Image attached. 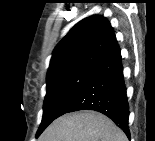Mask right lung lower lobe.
Listing matches in <instances>:
<instances>
[{
	"instance_id": "98d812e1",
	"label": "right lung lower lobe",
	"mask_w": 155,
	"mask_h": 141,
	"mask_svg": "<svg viewBox=\"0 0 155 141\" xmlns=\"http://www.w3.org/2000/svg\"><path fill=\"white\" fill-rule=\"evenodd\" d=\"M121 61L117 45L63 106L59 115L86 109L95 110L112 119L130 138L129 107Z\"/></svg>"
}]
</instances>
